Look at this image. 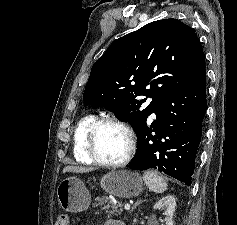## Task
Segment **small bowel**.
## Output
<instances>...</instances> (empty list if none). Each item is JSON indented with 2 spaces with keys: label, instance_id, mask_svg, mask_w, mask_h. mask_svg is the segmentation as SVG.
Here are the masks:
<instances>
[{
  "label": "small bowel",
  "instance_id": "c3829d8e",
  "mask_svg": "<svg viewBox=\"0 0 237 225\" xmlns=\"http://www.w3.org/2000/svg\"><path fill=\"white\" fill-rule=\"evenodd\" d=\"M106 225H125L124 223H122L121 221L119 220H110L107 222Z\"/></svg>",
  "mask_w": 237,
  "mask_h": 225
}]
</instances>
